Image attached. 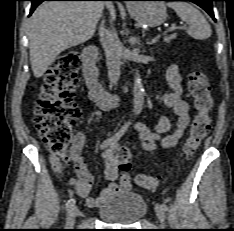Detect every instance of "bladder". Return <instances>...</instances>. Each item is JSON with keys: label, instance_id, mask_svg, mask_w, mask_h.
Here are the masks:
<instances>
[{"label": "bladder", "instance_id": "1", "mask_svg": "<svg viewBox=\"0 0 234 231\" xmlns=\"http://www.w3.org/2000/svg\"><path fill=\"white\" fill-rule=\"evenodd\" d=\"M147 203L135 192L115 194L98 209L102 221L112 224L127 225L142 219L147 213Z\"/></svg>", "mask_w": 234, "mask_h": 231}]
</instances>
